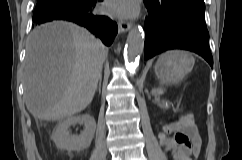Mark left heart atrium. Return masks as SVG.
<instances>
[{"instance_id": "left-heart-atrium-1", "label": "left heart atrium", "mask_w": 242, "mask_h": 160, "mask_svg": "<svg viewBox=\"0 0 242 160\" xmlns=\"http://www.w3.org/2000/svg\"><path fill=\"white\" fill-rule=\"evenodd\" d=\"M138 0H108L105 10L118 17H131L138 11Z\"/></svg>"}]
</instances>
